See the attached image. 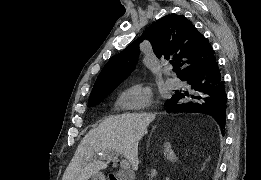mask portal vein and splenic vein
Returning a JSON list of instances; mask_svg holds the SVG:
<instances>
[{"label":"portal vein and splenic vein","instance_id":"obj_1","mask_svg":"<svg viewBox=\"0 0 261 180\" xmlns=\"http://www.w3.org/2000/svg\"><path fill=\"white\" fill-rule=\"evenodd\" d=\"M116 156H119L120 152H115ZM121 164H126V166H129L128 162L126 160H122ZM125 170V168H124Z\"/></svg>","mask_w":261,"mask_h":180}]
</instances>
